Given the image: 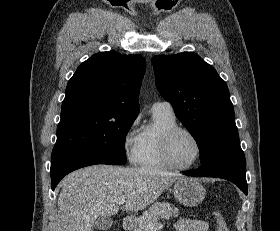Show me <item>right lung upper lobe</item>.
Masks as SVG:
<instances>
[{
	"label": "right lung upper lobe",
	"instance_id": "1",
	"mask_svg": "<svg viewBox=\"0 0 280 231\" xmlns=\"http://www.w3.org/2000/svg\"><path fill=\"white\" fill-rule=\"evenodd\" d=\"M146 69L141 55L116 51L94 54L81 63L66 87L61 120L89 117L135 119Z\"/></svg>",
	"mask_w": 280,
	"mask_h": 231
}]
</instances>
